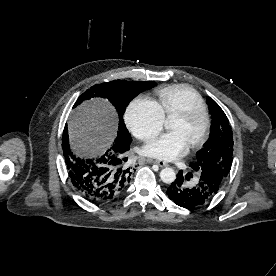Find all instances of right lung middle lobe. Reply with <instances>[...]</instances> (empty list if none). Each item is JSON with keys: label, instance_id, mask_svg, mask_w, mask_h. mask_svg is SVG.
Segmentation results:
<instances>
[{"label": "right lung middle lobe", "instance_id": "obj_1", "mask_svg": "<svg viewBox=\"0 0 276 276\" xmlns=\"http://www.w3.org/2000/svg\"><path fill=\"white\" fill-rule=\"evenodd\" d=\"M156 86L153 81L147 82H129L124 80H115L107 83L96 84L81 94L76 101L74 108L85 100L91 98H105L115 107L119 118V131L116 141L123 143L131 142V136L126 129L122 115L125 112L129 102L139 93Z\"/></svg>", "mask_w": 276, "mask_h": 276}]
</instances>
